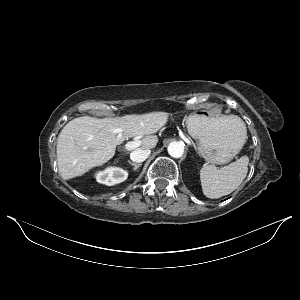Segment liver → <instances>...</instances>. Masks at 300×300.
Segmentation results:
<instances>
[{
  "label": "liver",
  "instance_id": "1",
  "mask_svg": "<svg viewBox=\"0 0 300 300\" xmlns=\"http://www.w3.org/2000/svg\"><path fill=\"white\" fill-rule=\"evenodd\" d=\"M231 116L226 117L230 119ZM167 120L165 113L104 119L83 116L71 120L57 138L60 175L68 180L103 165L114 156L116 146L128 138L142 135L140 148H155L158 138L154 134Z\"/></svg>",
  "mask_w": 300,
  "mask_h": 300
}]
</instances>
